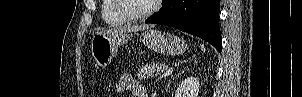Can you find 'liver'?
Listing matches in <instances>:
<instances>
[{"instance_id":"obj_1","label":"liver","mask_w":302,"mask_h":97,"mask_svg":"<svg viewBox=\"0 0 302 97\" xmlns=\"http://www.w3.org/2000/svg\"><path fill=\"white\" fill-rule=\"evenodd\" d=\"M150 29L147 25H127V26H120L117 28L110 29L108 31H101L97 32L96 34H113V33H131V32H137L142 30Z\"/></svg>"}]
</instances>
